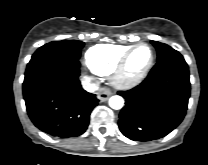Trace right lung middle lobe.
I'll use <instances>...</instances> for the list:
<instances>
[{
  "mask_svg": "<svg viewBox=\"0 0 208 165\" xmlns=\"http://www.w3.org/2000/svg\"><path fill=\"white\" fill-rule=\"evenodd\" d=\"M84 42L77 40L53 41L40 47L32 56L31 61L51 53L64 52L79 59Z\"/></svg>",
  "mask_w": 208,
  "mask_h": 165,
  "instance_id": "1",
  "label": "right lung middle lobe"
}]
</instances>
